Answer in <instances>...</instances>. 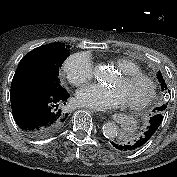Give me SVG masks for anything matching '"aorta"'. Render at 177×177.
<instances>
[{"mask_svg": "<svg viewBox=\"0 0 177 177\" xmlns=\"http://www.w3.org/2000/svg\"><path fill=\"white\" fill-rule=\"evenodd\" d=\"M94 76L99 81H108L110 71L102 65H97L94 69ZM102 132L106 138L113 139L117 136L118 128L113 122H107L102 126Z\"/></svg>", "mask_w": 177, "mask_h": 177, "instance_id": "1", "label": "aorta"}]
</instances>
